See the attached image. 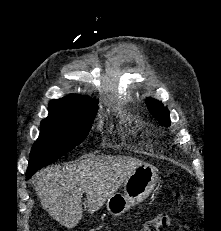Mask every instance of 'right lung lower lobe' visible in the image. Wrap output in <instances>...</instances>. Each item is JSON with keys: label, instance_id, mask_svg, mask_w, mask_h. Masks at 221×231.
Listing matches in <instances>:
<instances>
[{"label": "right lung lower lobe", "instance_id": "right-lung-lower-lobe-1", "mask_svg": "<svg viewBox=\"0 0 221 231\" xmlns=\"http://www.w3.org/2000/svg\"><path fill=\"white\" fill-rule=\"evenodd\" d=\"M36 171L27 170L26 179H29Z\"/></svg>", "mask_w": 221, "mask_h": 231}]
</instances>
